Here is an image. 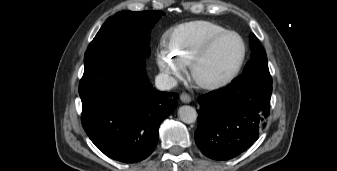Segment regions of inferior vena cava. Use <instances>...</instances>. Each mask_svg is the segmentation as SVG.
<instances>
[{"instance_id":"1","label":"inferior vena cava","mask_w":337,"mask_h":171,"mask_svg":"<svg viewBox=\"0 0 337 171\" xmlns=\"http://www.w3.org/2000/svg\"><path fill=\"white\" fill-rule=\"evenodd\" d=\"M155 85L158 90L165 91L174 88L177 85V81L168 74L160 73L155 78Z\"/></svg>"}]
</instances>
